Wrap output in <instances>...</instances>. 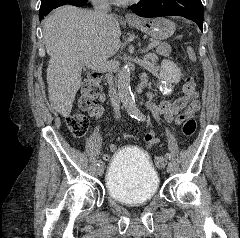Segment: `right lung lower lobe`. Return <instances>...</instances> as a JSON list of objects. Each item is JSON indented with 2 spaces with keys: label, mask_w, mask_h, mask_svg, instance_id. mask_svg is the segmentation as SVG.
I'll return each mask as SVG.
<instances>
[{
  "label": "right lung lower lobe",
  "mask_w": 240,
  "mask_h": 238,
  "mask_svg": "<svg viewBox=\"0 0 240 238\" xmlns=\"http://www.w3.org/2000/svg\"><path fill=\"white\" fill-rule=\"evenodd\" d=\"M88 0H69L68 2H59L57 3L55 6H53L48 12H46L45 14L39 15V19L40 21L42 20V18L44 16H46L50 11H52L53 9L62 6L64 4H70V5H74V6H78V7H82L85 6L87 4Z\"/></svg>",
  "instance_id": "98d812e1"
}]
</instances>
